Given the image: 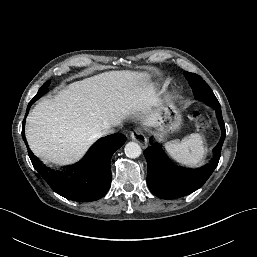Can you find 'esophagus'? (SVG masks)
Masks as SVG:
<instances>
[{"label": "esophagus", "instance_id": "obj_1", "mask_svg": "<svg viewBox=\"0 0 257 257\" xmlns=\"http://www.w3.org/2000/svg\"><path fill=\"white\" fill-rule=\"evenodd\" d=\"M130 137L143 148H145L148 144L147 138L140 129H134L133 131H131Z\"/></svg>", "mask_w": 257, "mask_h": 257}]
</instances>
